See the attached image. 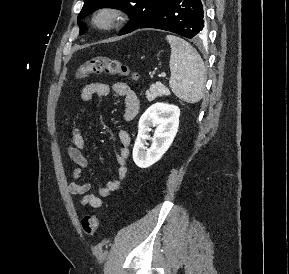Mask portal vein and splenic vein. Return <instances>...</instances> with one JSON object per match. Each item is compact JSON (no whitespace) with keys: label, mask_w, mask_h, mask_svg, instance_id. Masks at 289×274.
Listing matches in <instances>:
<instances>
[{"label":"portal vein and splenic vein","mask_w":289,"mask_h":274,"mask_svg":"<svg viewBox=\"0 0 289 274\" xmlns=\"http://www.w3.org/2000/svg\"><path fill=\"white\" fill-rule=\"evenodd\" d=\"M159 76L160 77H166V74L165 73H161Z\"/></svg>","instance_id":"portal-vein-and-splenic-vein-1"}]
</instances>
